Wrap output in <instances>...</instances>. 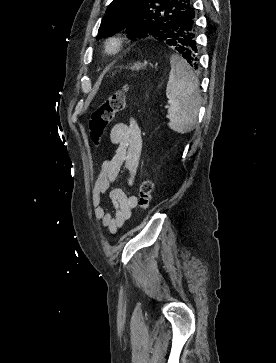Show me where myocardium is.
Masks as SVG:
<instances>
[{
  "mask_svg": "<svg viewBox=\"0 0 276 363\" xmlns=\"http://www.w3.org/2000/svg\"><path fill=\"white\" fill-rule=\"evenodd\" d=\"M126 37L122 34H115L106 40L105 49L109 55L118 54L126 44Z\"/></svg>",
  "mask_w": 276,
  "mask_h": 363,
  "instance_id": "obj_1",
  "label": "myocardium"
}]
</instances>
